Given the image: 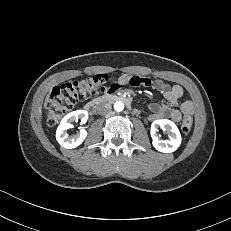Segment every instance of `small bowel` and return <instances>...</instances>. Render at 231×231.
Returning a JSON list of instances; mask_svg holds the SVG:
<instances>
[{
	"mask_svg": "<svg viewBox=\"0 0 231 231\" xmlns=\"http://www.w3.org/2000/svg\"><path fill=\"white\" fill-rule=\"evenodd\" d=\"M159 90L167 104L165 103H152L149 105L151 111L150 120H158L163 117H169L174 122L181 120L183 115H191L194 111L193 103L190 100L179 103V100L183 96V89L179 85H169L164 83L162 80H154L151 82L149 77L127 75L120 76L117 80H113L109 87L103 88V93H113L114 90L131 86L134 88H149L151 86Z\"/></svg>",
	"mask_w": 231,
	"mask_h": 231,
	"instance_id": "c3829d8e",
	"label": "small bowel"
}]
</instances>
